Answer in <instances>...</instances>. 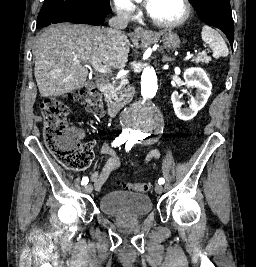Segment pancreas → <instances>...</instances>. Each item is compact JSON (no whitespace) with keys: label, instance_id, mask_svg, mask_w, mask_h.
I'll use <instances>...</instances> for the list:
<instances>
[{"label":"pancreas","instance_id":"pancreas-1","mask_svg":"<svg viewBox=\"0 0 256 267\" xmlns=\"http://www.w3.org/2000/svg\"><path fill=\"white\" fill-rule=\"evenodd\" d=\"M212 58L207 56L206 52H202V54H198L196 56L195 64H209ZM128 82L125 80L124 76L122 78H115L111 82V90L108 92L107 98H105V102H110V100H116V102H110L108 106H125L129 100H131V96L135 94V88H131V86H127ZM127 86V88H126Z\"/></svg>","mask_w":256,"mask_h":267}]
</instances>
